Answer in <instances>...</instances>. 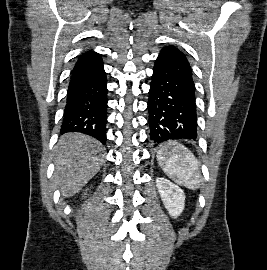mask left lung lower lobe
<instances>
[{
    "mask_svg": "<svg viewBox=\"0 0 267 270\" xmlns=\"http://www.w3.org/2000/svg\"><path fill=\"white\" fill-rule=\"evenodd\" d=\"M150 138L166 141L197 139V114L192 70L185 55L164 47L153 68L148 100Z\"/></svg>",
    "mask_w": 267,
    "mask_h": 270,
    "instance_id": "left-lung-lower-lobe-1",
    "label": "left lung lower lobe"
}]
</instances>
